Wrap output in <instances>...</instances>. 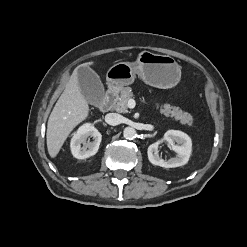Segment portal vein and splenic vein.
Returning <instances> with one entry per match:
<instances>
[{"label": "portal vein and splenic vein", "instance_id": "obj_1", "mask_svg": "<svg viewBox=\"0 0 247 247\" xmlns=\"http://www.w3.org/2000/svg\"><path fill=\"white\" fill-rule=\"evenodd\" d=\"M127 105L129 108H134L135 105H136V102L134 99H129L128 102H127Z\"/></svg>", "mask_w": 247, "mask_h": 247}]
</instances>
